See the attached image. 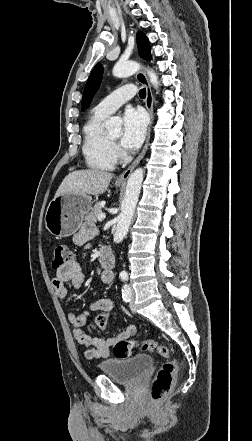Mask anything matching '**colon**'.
I'll return each instance as SVG.
<instances>
[{
	"label": "colon",
	"mask_w": 252,
	"mask_h": 441,
	"mask_svg": "<svg viewBox=\"0 0 252 441\" xmlns=\"http://www.w3.org/2000/svg\"><path fill=\"white\" fill-rule=\"evenodd\" d=\"M72 260V252L66 245L56 246L52 260V267L54 269H60ZM113 308V304L108 303L103 309L96 312L94 317L95 327L103 329L107 326L112 316ZM135 347H139L144 352H155L166 359L159 368L151 388L153 402L160 403L173 387L178 362L166 346L152 340L141 342L121 340L114 346V355L117 358H127L132 355Z\"/></svg>",
	"instance_id": "1"
}]
</instances>
